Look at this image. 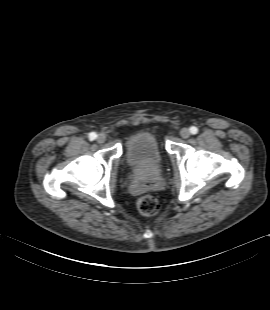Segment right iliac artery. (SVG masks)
I'll return each mask as SVG.
<instances>
[{"mask_svg": "<svg viewBox=\"0 0 270 310\" xmlns=\"http://www.w3.org/2000/svg\"><path fill=\"white\" fill-rule=\"evenodd\" d=\"M96 137H97V134H96L95 132H91V133L89 134V139H90V140H94Z\"/></svg>", "mask_w": 270, "mask_h": 310, "instance_id": "1", "label": "right iliac artery"}]
</instances>
